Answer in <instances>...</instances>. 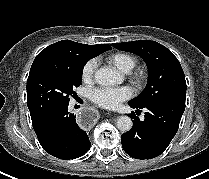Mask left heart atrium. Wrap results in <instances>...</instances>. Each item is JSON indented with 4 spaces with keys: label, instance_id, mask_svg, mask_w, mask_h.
<instances>
[{
    "label": "left heart atrium",
    "instance_id": "39dd6f15",
    "mask_svg": "<svg viewBox=\"0 0 209 179\" xmlns=\"http://www.w3.org/2000/svg\"><path fill=\"white\" fill-rule=\"evenodd\" d=\"M133 94L132 88L122 87H99L91 90L90 99L93 103L105 109H116L129 99Z\"/></svg>",
    "mask_w": 209,
    "mask_h": 179
}]
</instances>
